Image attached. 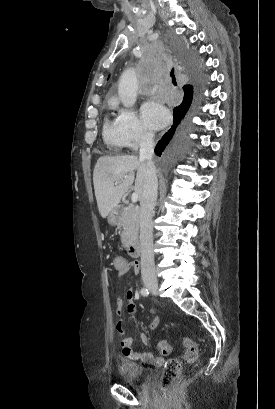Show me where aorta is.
I'll use <instances>...</instances> for the list:
<instances>
[{"mask_svg": "<svg viewBox=\"0 0 275 409\" xmlns=\"http://www.w3.org/2000/svg\"><path fill=\"white\" fill-rule=\"evenodd\" d=\"M138 80L133 68H127L119 78L118 94L124 106H133L137 100Z\"/></svg>", "mask_w": 275, "mask_h": 409, "instance_id": "762f6f07", "label": "aorta"}]
</instances>
